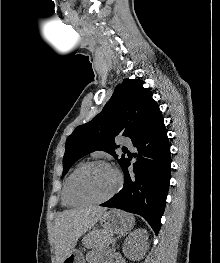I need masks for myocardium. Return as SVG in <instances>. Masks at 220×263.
Masks as SVG:
<instances>
[{
    "mask_svg": "<svg viewBox=\"0 0 220 263\" xmlns=\"http://www.w3.org/2000/svg\"><path fill=\"white\" fill-rule=\"evenodd\" d=\"M94 165H104V166H108L110 167L117 178V182L115 187L113 188V190L111 192H109L106 196L99 198V199H95V200H78L74 197L73 192H72V186H73V182L76 178V176L81 173L83 170L94 166ZM123 183L122 180V176L119 173V171L117 169H115L111 164H109L108 162L104 161V160H92V161H88L83 163L82 165H80L70 176L69 180H68V184H67V199L68 201L76 206H81V205H95V204H101L104 203L106 201H108L109 199H111L121 188Z\"/></svg>",
    "mask_w": 220,
    "mask_h": 263,
    "instance_id": "myocardium-1",
    "label": "myocardium"
}]
</instances>
